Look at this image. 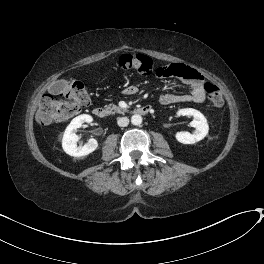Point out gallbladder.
Segmentation results:
<instances>
[{"instance_id": "obj_1", "label": "gallbladder", "mask_w": 264, "mask_h": 264, "mask_svg": "<svg viewBox=\"0 0 264 264\" xmlns=\"http://www.w3.org/2000/svg\"><path fill=\"white\" fill-rule=\"evenodd\" d=\"M67 85H68V82L65 80L57 81L55 84L52 85L51 91L53 93L63 91Z\"/></svg>"}]
</instances>
